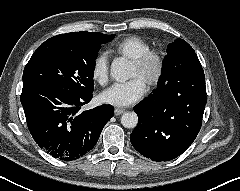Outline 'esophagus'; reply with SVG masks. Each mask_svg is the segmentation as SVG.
I'll list each match as a JSON object with an SVG mask.
<instances>
[{"mask_svg": "<svg viewBox=\"0 0 240 191\" xmlns=\"http://www.w3.org/2000/svg\"><path fill=\"white\" fill-rule=\"evenodd\" d=\"M125 112V109H121V108H115L114 113L115 115H121Z\"/></svg>", "mask_w": 240, "mask_h": 191, "instance_id": "obj_1", "label": "esophagus"}]
</instances>
